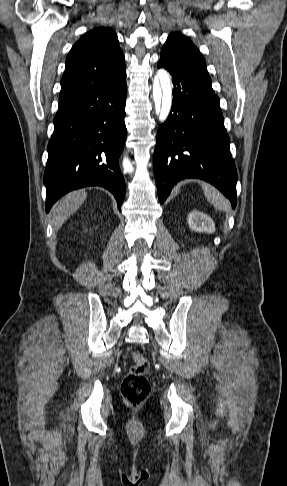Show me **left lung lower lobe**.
<instances>
[{"label":"left lung lower lobe","instance_id":"obj_1","mask_svg":"<svg viewBox=\"0 0 287 486\" xmlns=\"http://www.w3.org/2000/svg\"><path fill=\"white\" fill-rule=\"evenodd\" d=\"M158 68L170 73L174 86L171 113L159 127L153 156L160 202L179 180L200 178L216 186L235 208L237 171L219 98L210 86L163 59Z\"/></svg>","mask_w":287,"mask_h":486}]
</instances>
